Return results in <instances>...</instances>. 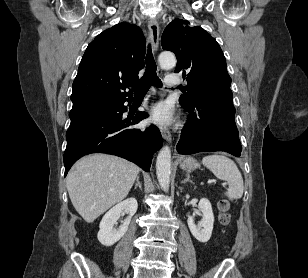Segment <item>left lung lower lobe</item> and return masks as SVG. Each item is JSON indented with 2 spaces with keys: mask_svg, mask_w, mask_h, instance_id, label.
Listing matches in <instances>:
<instances>
[{
  "mask_svg": "<svg viewBox=\"0 0 308 278\" xmlns=\"http://www.w3.org/2000/svg\"><path fill=\"white\" fill-rule=\"evenodd\" d=\"M232 96L231 89L225 88L205 94L191 106H182L189 115L177 144L179 154L225 151L240 156Z\"/></svg>",
  "mask_w": 308,
  "mask_h": 278,
  "instance_id": "obj_1",
  "label": "left lung lower lobe"
}]
</instances>
